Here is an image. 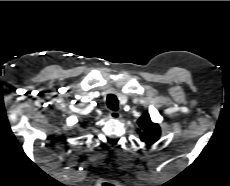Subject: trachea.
Wrapping results in <instances>:
<instances>
[{
	"label": "trachea",
	"mask_w": 230,
	"mask_h": 186,
	"mask_svg": "<svg viewBox=\"0 0 230 186\" xmlns=\"http://www.w3.org/2000/svg\"><path fill=\"white\" fill-rule=\"evenodd\" d=\"M107 106L113 111L118 110V99L114 94H109L106 98Z\"/></svg>",
	"instance_id": "trachea-1"
}]
</instances>
